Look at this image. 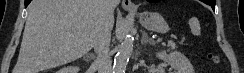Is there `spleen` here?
<instances>
[{
  "mask_svg": "<svg viewBox=\"0 0 244 73\" xmlns=\"http://www.w3.org/2000/svg\"><path fill=\"white\" fill-rule=\"evenodd\" d=\"M188 24L194 36H199L201 34V27L196 17H192L191 19H189Z\"/></svg>",
  "mask_w": 244,
  "mask_h": 73,
  "instance_id": "obj_1",
  "label": "spleen"
}]
</instances>
